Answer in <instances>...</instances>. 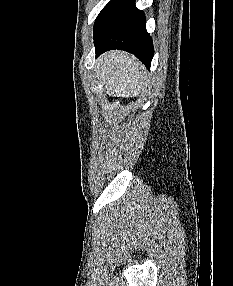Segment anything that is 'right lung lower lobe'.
<instances>
[{
  "label": "right lung lower lobe",
  "mask_w": 233,
  "mask_h": 286,
  "mask_svg": "<svg viewBox=\"0 0 233 286\" xmlns=\"http://www.w3.org/2000/svg\"><path fill=\"white\" fill-rule=\"evenodd\" d=\"M145 22V14L135 7V0H111L95 21L96 55L112 49L124 50L150 68L154 47Z\"/></svg>",
  "instance_id": "98d812e1"
}]
</instances>
